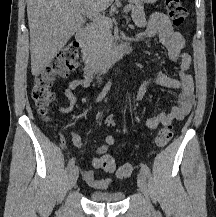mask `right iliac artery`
Instances as JSON below:
<instances>
[{
	"label": "right iliac artery",
	"instance_id": "obj_1",
	"mask_svg": "<svg viewBox=\"0 0 216 217\" xmlns=\"http://www.w3.org/2000/svg\"><path fill=\"white\" fill-rule=\"evenodd\" d=\"M111 87V81H109L103 88V90L101 91V93L98 95L96 102H100L108 93V91L110 90ZM75 164V158H71L68 162V169H71Z\"/></svg>",
	"mask_w": 216,
	"mask_h": 217
}]
</instances>
